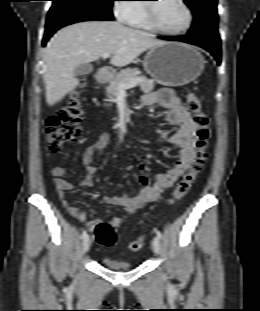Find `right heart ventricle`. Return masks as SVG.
<instances>
[{
    "label": "right heart ventricle",
    "instance_id": "e07e8e85",
    "mask_svg": "<svg viewBox=\"0 0 260 311\" xmlns=\"http://www.w3.org/2000/svg\"><path fill=\"white\" fill-rule=\"evenodd\" d=\"M134 6V13L127 23L137 28L151 29L146 20L144 4H135Z\"/></svg>",
    "mask_w": 260,
    "mask_h": 311
}]
</instances>
